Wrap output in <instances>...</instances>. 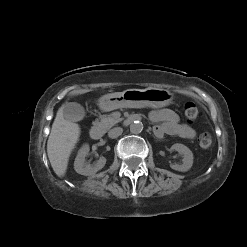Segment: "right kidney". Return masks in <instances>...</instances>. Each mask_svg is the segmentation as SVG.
Returning a JSON list of instances; mask_svg holds the SVG:
<instances>
[{
	"instance_id": "1",
	"label": "right kidney",
	"mask_w": 247,
	"mask_h": 247,
	"mask_svg": "<svg viewBox=\"0 0 247 247\" xmlns=\"http://www.w3.org/2000/svg\"><path fill=\"white\" fill-rule=\"evenodd\" d=\"M89 146L87 144L79 150L78 155L74 162V169L77 173L85 176L94 175L97 171L101 170L106 164V158L100 157L93 165L85 163V157L89 153Z\"/></svg>"
}]
</instances>
